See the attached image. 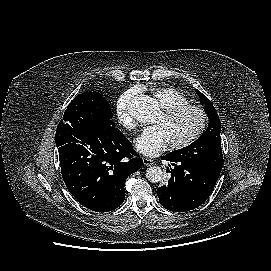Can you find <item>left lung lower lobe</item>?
I'll return each mask as SVG.
<instances>
[{
  "instance_id": "obj_1",
  "label": "left lung lower lobe",
  "mask_w": 271,
  "mask_h": 271,
  "mask_svg": "<svg viewBox=\"0 0 271 271\" xmlns=\"http://www.w3.org/2000/svg\"><path fill=\"white\" fill-rule=\"evenodd\" d=\"M163 160L170 161L171 177L166 185L157 189L160 204L175 212H186L199 207L212 193L219 176L207 172L202 167L181 161L171 153Z\"/></svg>"
}]
</instances>
